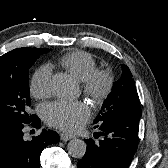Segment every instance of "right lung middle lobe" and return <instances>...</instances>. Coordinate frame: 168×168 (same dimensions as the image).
Masks as SVG:
<instances>
[{"label": "right lung middle lobe", "mask_w": 168, "mask_h": 168, "mask_svg": "<svg viewBox=\"0 0 168 168\" xmlns=\"http://www.w3.org/2000/svg\"><path fill=\"white\" fill-rule=\"evenodd\" d=\"M50 49L25 48L13 64L0 68V126L9 123H30L36 115H29L31 105L28 69Z\"/></svg>", "instance_id": "dd1d6c3e"}]
</instances>
